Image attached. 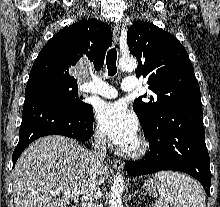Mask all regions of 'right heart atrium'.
Here are the masks:
<instances>
[{
    "instance_id": "d8ad5b80",
    "label": "right heart atrium",
    "mask_w": 220,
    "mask_h": 207,
    "mask_svg": "<svg viewBox=\"0 0 220 207\" xmlns=\"http://www.w3.org/2000/svg\"><path fill=\"white\" fill-rule=\"evenodd\" d=\"M94 137L95 140L100 144H104L106 142L104 135L99 130H95Z\"/></svg>"
}]
</instances>
